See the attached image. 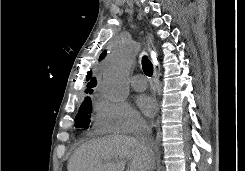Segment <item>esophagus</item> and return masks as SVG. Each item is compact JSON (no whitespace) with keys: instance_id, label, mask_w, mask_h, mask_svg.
I'll return each instance as SVG.
<instances>
[{"instance_id":"1","label":"esophagus","mask_w":245,"mask_h":171,"mask_svg":"<svg viewBox=\"0 0 245 171\" xmlns=\"http://www.w3.org/2000/svg\"><path fill=\"white\" fill-rule=\"evenodd\" d=\"M153 58V81H154V90L156 93H159V78H158V62L156 58Z\"/></svg>"}]
</instances>
